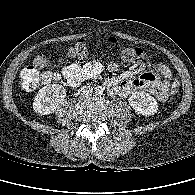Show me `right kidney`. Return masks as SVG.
I'll return each instance as SVG.
<instances>
[{"mask_svg": "<svg viewBox=\"0 0 195 195\" xmlns=\"http://www.w3.org/2000/svg\"><path fill=\"white\" fill-rule=\"evenodd\" d=\"M65 97L66 90L62 85L51 84L44 86L34 98L33 109L40 115L51 114Z\"/></svg>", "mask_w": 195, "mask_h": 195, "instance_id": "obj_1", "label": "right kidney"}]
</instances>
